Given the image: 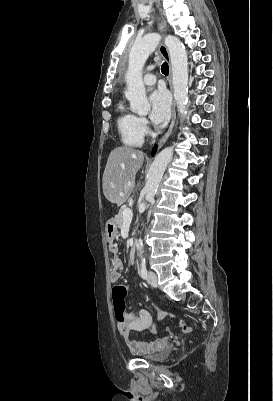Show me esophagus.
Masks as SVG:
<instances>
[{
  "instance_id": "esophagus-1",
  "label": "esophagus",
  "mask_w": 273,
  "mask_h": 401,
  "mask_svg": "<svg viewBox=\"0 0 273 401\" xmlns=\"http://www.w3.org/2000/svg\"><path fill=\"white\" fill-rule=\"evenodd\" d=\"M158 29H159L160 34L162 36H164L166 33L167 25H166V22L163 17L159 18ZM158 50H159V53L165 58L166 62H168V64H169L168 81H169V88L172 92V71H171V64H170V56H169L168 49H167L166 45L163 43V41H161V43L158 47ZM175 120H176V110H175V101L173 100L171 123L169 125L168 130L166 131V133L162 136V138L159 141V144H158L159 148L164 145V143L167 141V139L171 135V132H172L174 124H175Z\"/></svg>"
}]
</instances>
